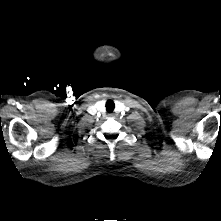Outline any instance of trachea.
Instances as JSON below:
<instances>
[{
  "label": "trachea",
  "mask_w": 221,
  "mask_h": 221,
  "mask_svg": "<svg viewBox=\"0 0 221 221\" xmlns=\"http://www.w3.org/2000/svg\"><path fill=\"white\" fill-rule=\"evenodd\" d=\"M114 103H113V101H108L107 103H106V109H107V111L108 112H112L113 110H114Z\"/></svg>",
  "instance_id": "obj_1"
}]
</instances>
